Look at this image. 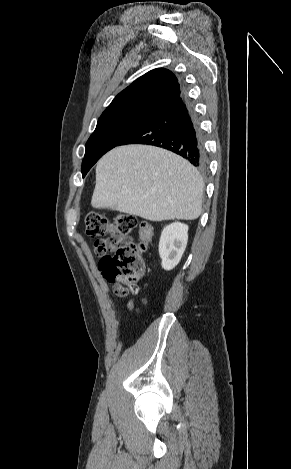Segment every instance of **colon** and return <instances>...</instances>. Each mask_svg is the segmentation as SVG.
<instances>
[{
	"mask_svg": "<svg viewBox=\"0 0 291 469\" xmlns=\"http://www.w3.org/2000/svg\"><path fill=\"white\" fill-rule=\"evenodd\" d=\"M85 223L87 234L98 238L95 251L101 255L99 269L105 279L115 286V293L125 296L129 290L136 291L145 271L142 253L154 234L152 224L146 221L139 224V242L135 243L128 237L138 226V220L133 215L120 213L108 219L100 213L90 212ZM108 249L112 252L107 253Z\"/></svg>",
	"mask_w": 291,
	"mask_h": 469,
	"instance_id": "5ec220e1",
	"label": "colon"
}]
</instances>
